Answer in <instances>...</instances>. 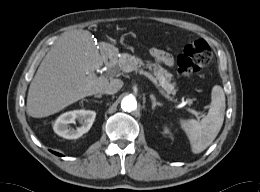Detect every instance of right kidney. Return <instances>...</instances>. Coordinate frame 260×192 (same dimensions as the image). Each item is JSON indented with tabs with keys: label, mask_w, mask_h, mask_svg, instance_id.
<instances>
[{
	"label": "right kidney",
	"mask_w": 260,
	"mask_h": 192,
	"mask_svg": "<svg viewBox=\"0 0 260 192\" xmlns=\"http://www.w3.org/2000/svg\"><path fill=\"white\" fill-rule=\"evenodd\" d=\"M96 112L90 110H74L60 115L54 124V131L66 139H77L88 132L95 120ZM76 120L81 124L76 129L69 124H75Z\"/></svg>",
	"instance_id": "obj_1"
}]
</instances>
